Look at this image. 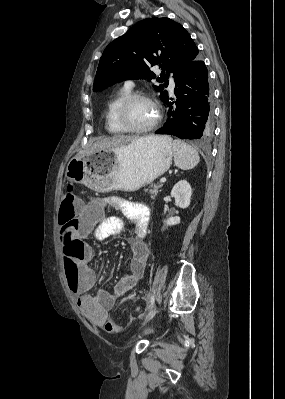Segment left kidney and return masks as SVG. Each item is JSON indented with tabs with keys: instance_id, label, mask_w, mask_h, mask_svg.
I'll use <instances>...</instances> for the list:
<instances>
[{
	"instance_id": "obj_1",
	"label": "left kidney",
	"mask_w": 285,
	"mask_h": 399,
	"mask_svg": "<svg viewBox=\"0 0 285 399\" xmlns=\"http://www.w3.org/2000/svg\"><path fill=\"white\" fill-rule=\"evenodd\" d=\"M192 188L186 180L176 183L171 191V196L175 198V203L180 208H187L191 202ZM166 226H173L180 223V217H170L163 221Z\"/></svg>"
}]
</instances>
